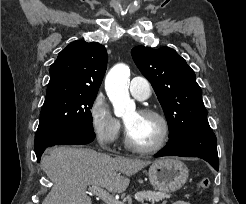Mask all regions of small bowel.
Segmentation results:
<instances>
[{
  "instance_id": "small-bowel-1",
  "label": "small bowel",
  "mask_w": 246,
  "mask_h": 204,
  "mask_svg": "<svg viewBox=\"0 0 246 204\" xmlns=\"http://www.w3.org/2000/svg\"><path fill=\"white\" fill-rule=\"evenodd\" d=\"M172 204H191V203H188V202H185V201H176Z\"/></svg>"
}]
</instances>
